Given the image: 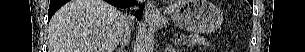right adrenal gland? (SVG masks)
I'll list each match as a JSON object with an SVG mask.
<instances>
[{
	"label": "right adrenal gland",
	"instance_id": "1",
	"mask_svg": "<svg viewBox=\"0 0 305 52\" xmlns=\"http://www.w3.org/2000/svg\"><path fill=\"white\" fill-rule=\"evenodd\" d=\"M117 52H124V47H123V46H121V48H120V49H118V50H117Z\"/></svg>",
	"mask_w": 305,
	"mask_h": 52
}]
</instances>
